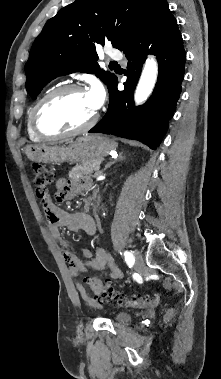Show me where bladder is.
Segmentation results:
<instances>
[{"label": "bladder", "instance_id": "31cf9c89", "mask_svg": "<svg viewBox=\"0 0 221 379\" xmlns=\"http://www.w3.org/2000/svg\"><path fill=\"white\" fill-rule=\"evenodd\" d=\"M113 319L118 323H128L131 320V315L127 312L120 311L114 315Z\"/></svg>", "mask_w": 221, "mask_h": 379}]
</instances>
